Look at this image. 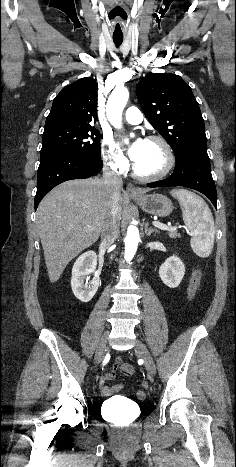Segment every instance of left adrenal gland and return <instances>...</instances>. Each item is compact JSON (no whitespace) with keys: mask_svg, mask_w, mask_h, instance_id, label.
Returning <instances> with one entry per match:
<instances>
[{"mask_svg":"<svg viewBox=\"0 0 236 467\" xmlns=\"http://www.w3.org/2000/svg\"><path fill=\"white\" fill-rule=\"evenodd\" d=\"M153 232L158 233V230H157V229H153V228H149V224H148V222H146V223H145V234H146L147 236H150L151 233H153Z\"/></svg>","mask_w":236,"mask_h":467,"instance_id":"a2214340","label":"left adrenal gland"}]
</instances>
